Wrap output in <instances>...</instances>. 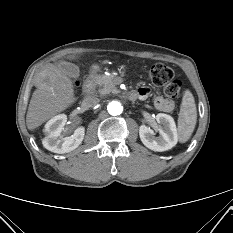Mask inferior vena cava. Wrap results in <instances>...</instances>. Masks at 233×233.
<instances>
[{
  "instance_id": "obj_1",
  "label": "inferior vena cava",
  "mask_w": 233,
  "mask_h": 233,
  "mask_svg": "<svg viewBox=\"0 0 233 233\" xmlns=\"http://www.w3.org/2000/svg\"><path fill=\"white\" fill-rule=\"evenodd\" d=\"M100 102V99L95 95H88L84 98L83 103L87 107H94L98 105Z\"/></svg>"
}]
</instances>
